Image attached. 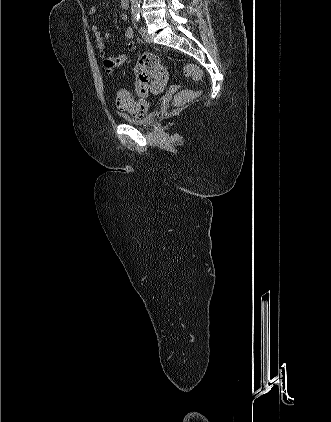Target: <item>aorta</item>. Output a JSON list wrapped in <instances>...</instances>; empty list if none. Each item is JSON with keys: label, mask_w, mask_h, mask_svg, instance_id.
I'll use <instances>...</instances> for the list:
<instances>
[{"label": "aorta", "mask_w": 331, "mask_h": 422, "mask_svg": "<svg viewBox=\"0 0 331 422\" xmlns=\"http://www.w3.org/2000/svg\"><path fill=\"white\" fill-rule=\"evenodd\" d=\"M140 7V0H131V11L137 12Z\"/></svg>", "instance_id": "obj_1"}]
</instances>
